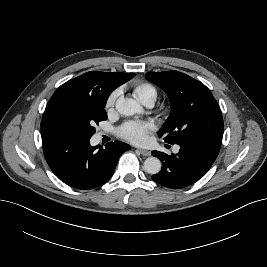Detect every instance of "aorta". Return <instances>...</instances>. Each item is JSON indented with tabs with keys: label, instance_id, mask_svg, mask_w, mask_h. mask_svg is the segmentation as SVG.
Wrapping results in <instances>:
<instances>
[{
	"label": "aorta",
	"instance_id": "762f6f07",
	"mask_svg": "<svg viewBox=\"0 0 267 267\" xmlns=\"http://www.w3.org/2000/svg\"><path fill=\"white\" fill-rule=\"evenodd\" d=\"M116 110L124 116H132L143 112V108L134 99L124 97L117 99ZM161 167V161L157 157H149L144 162V170L152 175L158 174Z\"/></svg>",
	"mask_w": 267,
	"mask_h": 267
}]
</instances>
